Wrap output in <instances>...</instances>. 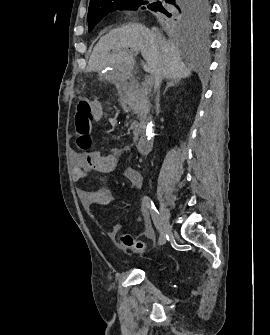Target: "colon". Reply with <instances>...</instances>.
<instances>
[{"label": "colon", "mask_w": 270, "mask_h": 335, "mask_svg": "<svg viewBox=\"0 0 270 335\" xmlns=\"http://www.w3.org/2000/svg\"><path fill=\"white\" fill-rule=\"evenodd\" d=\"M78 106L80 109L78 116H75V123H78V127L75 128V133L89 137L90 123L93 122L94 115L88 107V101H79ZM78 146L79 148H86L87 143L86 141H79ZM120 243L123 248L136 251L143 250L146 246L143 240L135 239L127 234L121 237Z\"/></svg>", "instance_id": "obj_1"}]
</instances>
